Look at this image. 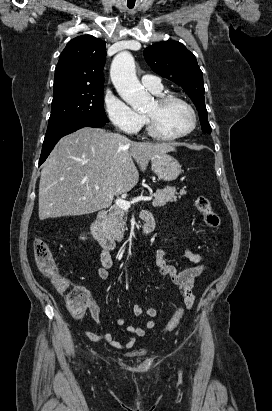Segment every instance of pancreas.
I'll return each mask as SVG.
<instances>
[{"mask_svg": "<svg viewBox=\"0 0 272 411\" xmlns=\"http://www.w3.org/2000/svg\"><path fill=\"white\" fill-rule=\"evenodd\" d=\"M185 194L186 191L183 189L177 192L175 187L166 186L163 189L156 190L155 193H151L150 195L154 197L152 205L154 207H161L166 205L167 202H176L178 198L180 199L181 196ZM124 216L125 211L122 208L113 206L105 223L106 232L116 241L123 239L125 231Z\"/></svg>", "mask_w": 272, "mask_h": 411, "instance_id": "1", "label": "pancreas"}]
</instances>
